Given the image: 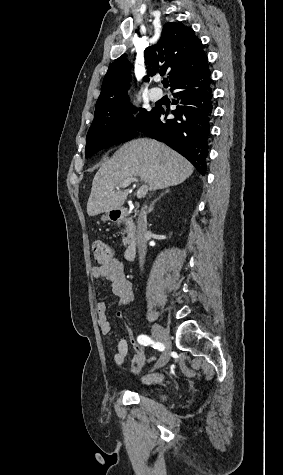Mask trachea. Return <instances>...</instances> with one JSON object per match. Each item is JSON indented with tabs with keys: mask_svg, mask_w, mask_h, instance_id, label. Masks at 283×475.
Here are the masks:
<instances>
[{
	"mask_svg": "<svg viewBox=\"0 0 283 475\" xmlns=\"http://www.w3.org/2000/svg\"><path fill=\"white\" fill-rule=\"evenodd\" d=\"M162 83H163V85H164L165 88H167V86L169 85V84H168V80H163Z\"/></svg>",
	"mask_w": 283,
	"mask_h": 475,
	"instance_id": "trachea-1",
	"label": "trachea"
}]
</instances>
